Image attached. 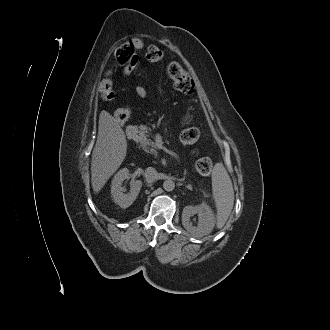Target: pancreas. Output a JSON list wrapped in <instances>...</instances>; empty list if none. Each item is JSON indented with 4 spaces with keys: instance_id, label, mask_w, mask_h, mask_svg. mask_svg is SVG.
I'll return each mask as SVG.
<instances>
[{
    "instance_id": "obj_1",
    "label": "pancreas",
    "mask_w": 330,
    "mask_h": 330,
    "mask_svg": "<svg viewBox=\"0 0 330 330\" xmlns=\"http://www.w3.org/2000/svg\"><path fill=\"white\" fill-rule=\"evenodd\" d=\"M148 134L146 135L145 132L140 133V144L144 148V150L150 154L156 155L157 152L154 149V142L151 139H148ZM151 146V148H150Z\"/></svg>"
}]
</instances>
